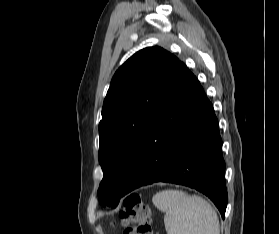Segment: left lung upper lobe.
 Here are the masks:
<instances>
[{
  "instance_id": "obj_1",
  "label": "left lung upper lobe",
  "mask_w": 279,
  "mask_h": 234,
  "mask_svg": "<svg viewBox=\"0 0 279 234\" xmlns=\"http://www.w3.org/2000/svg\"><path fill=\"white\" fill-rule=\"evenodd\" d=\"M180 62L160 47H148L114 74L99 123L103 179L97 194L101 205H118L153 115Z\"/></svg>"
}]
</instances>
